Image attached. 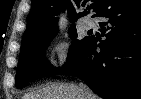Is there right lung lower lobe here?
<instances>
[{"label":"right lung lower lobe","instance_id":"obj_1","mask_svg":"<svg viewBox=\"0 0 141 99\" xmlns=\"http://www.w3.org/2000/svg\"><path fill=\"white\" fill-rule=\"evenodd\" d=\"M98 17L107 39L90 37L57 74L83 79L104 99H141V0H113Z\"/></svg>","mask_w":141,"mask_h":99}]
</instances>
